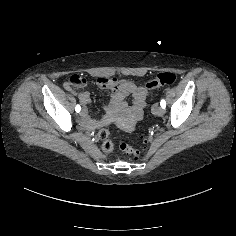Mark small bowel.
<instances>
[{"mask_svg":"<svg viewBox=\"0 0 236 236\" xmlns=\"http://www.w3.org/2000/svg\"><path fill=\"white\" fill-rule=\"evenodd\" d=\"M98 83L101 85V86H104V84H106V83H102V81H100V79H99V81H98ZM65 87H66V89L67 90H72V87H71V84L70 83H66L65 84ZM80 99H81V101L84 103V104H86V103H88V101H89V97H88V95H87V93H83V94H81L80 95ZM144 106V102L142 101L141 103H140V108H139V111L141 110V108ZM97 127V126H96ZM96 127H94V128H96ZM93 128V129H94Z\"/></svg>","mask_w":236,"mask_h":236,"instance_id":"obj_1","label":"small bowel"}]
</instances>
